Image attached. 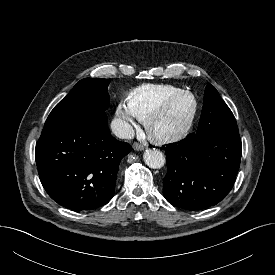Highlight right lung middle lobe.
<instances>
[{
	"mask_svg": "<svg viewBox=\"0 0 275 275\" xmlns=\"http://www.w3.org/2000/svg\"><path fill=\"white\" fill-rule=\"evenodd\" d=\"M109 81L100 78L80 80L49 114L44 128L80 124L104 113L109 107Z\"/></svg>",
	"mask_w": 275,
	"mask_h": 275,
	"instance_id": "obj_1",
	"label": "right lung middle lobe"
}]
</instances>
